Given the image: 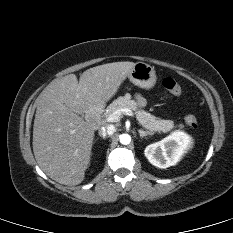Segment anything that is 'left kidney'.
Listing matches in <instances>:
<instances>
[{
	"instance_id": "obj_1",
	"label": "left kidney",
	"mask_w": 233,
	"mask_h": 233,
	"mask_svg": "<svg viewBox=\"0 0 233 233\" xmlns=\"http://www.w3.org/2000/svg\"><path fill=\"white\" fill-rule=\"evenodd\" d=\"M191 144V137L184 132H176L163 140L150 144L145 149L149 162L159 168L175 165Z\"/></svg>"
}]
</instances>
